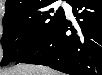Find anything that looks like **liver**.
<instances>
[{
    "label": "liver",
    "mask_w": 102,
    "mask_h": 75,
    "mask_svg": "<svg viewBox=\"0 0 102 75\" xmlns=\"http://www.w3.org/2000/svg\"><path fill=\"white\" fill-rule=\"evenodd\" d=\"M1 75H60L58 72L41 65L19 64L8 70L2 71Z\"/></svg>",
    "instance_id": "liver-1"
}]
</instances>
